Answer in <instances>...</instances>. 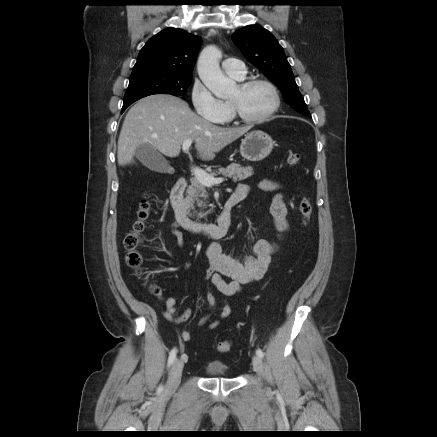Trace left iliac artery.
Returning a JSON list of instances; mask_svg holds the SVG:
<instances>
[{
  "mask_svg": "<svg viewBox=\"0 0 437 437\" xmlns=\"http://www.w3.org/2000/svg\"><path fill=\"white\" fill-rule=\"evenodd\" d=\"M256 354H257V356H259L260 358H263V357H264V353H263V351H262L261 349H257V350H256Z\"/></svg>",
  "mask_w": 437,
  "mask_h": 437,
  "instance_id": "1",
  "label": "left iliac artery"
}]
</instances>
